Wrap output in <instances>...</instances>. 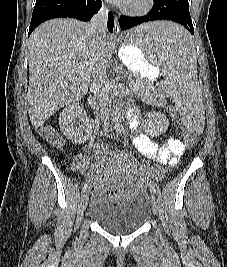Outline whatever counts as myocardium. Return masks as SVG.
I'll use <instances>...</instances> for the list:
<instances>
[{"instance_id": "f54148a6", "label": "myocardium", "mask_w": 227, "mask_h": 267, "mask_svg": "<svg viewBox=\"0 0 227 267\" xmlns=\"http://www.w3.org/2000/svg\"><path fill=\"white\" fill-rule=\"evenodd\" d=\"M154 2L155 0H134L125 10L130 15L141 16L147 14L153 8Z\"/></svg>"}]
</instances>
